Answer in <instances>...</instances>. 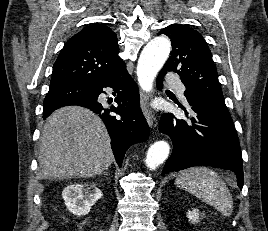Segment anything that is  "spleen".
<instances>
[{
    "mask_svg": "<svg viewBox=\"0 0 268 231\" xmlns=\"http://www.w3.org/2000/svg\"><path fill=\"white\" fill-rule=\"evenodd\" d=\"M180 188L213 206L224 216H230L233 199L225 182L207 167H192L180 173L175 181Z\"/></svg>",
    "mask_w": 268,
    "mask_h": 231,
    "instance_id": "1",
    "label": "spleen"
}]
</instances>
